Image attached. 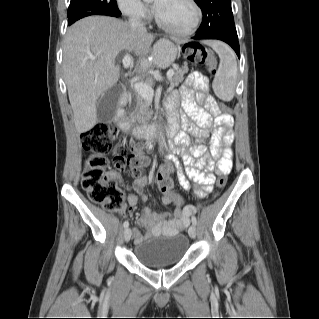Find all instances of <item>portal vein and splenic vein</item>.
I'll use <instances>...</instances> for the list:
<instances>
[{
	"label": "portal vein and splenic vein",
	"instance_id": "1",
	"mask_svg": "<svg viewBox=\"0 0 319 319\" xmlns=\"http://www.w3.org/2000/svg\"><path fill=\"white\" fill-rule=\"evenodd\" d=\"M123 65L125 68H128L131 64V57L130 55H125L122 59ZM174 74V70L173 69H169L167 71V79L170 81V79L172 78ZM135 90L138 92L139 95H141L143 98L146 99H151L154 95V91L153 89L147 85L146 83L143 82H136L133 84Z\"/></svg>",
	"mask_w": 319,
	"mask_h": 319
}]
</instances>
